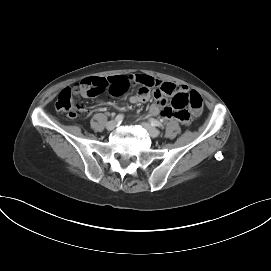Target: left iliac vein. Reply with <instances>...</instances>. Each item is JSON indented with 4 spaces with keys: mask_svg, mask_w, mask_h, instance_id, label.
Masks as SVG:
<instances>
[{
    "mask_svg": "<svg viewBox=\"0 0 271 271\" xmlns=\"http://www.w3.org/2000/svg\"><path fill=\"white\" fill-rule=\"evenodd\" d=\"M142 126L144 129L147 130L148 134L152 137V138H156L160 135V131L154 127H152L149 123L143 122Z\"/></svg>",
    "mask_w": 271,
    "mask_h": 271,
    "instance_id": "left-iliac-vein-1",
    "label": "left iliac vein"
}]
</instances>
